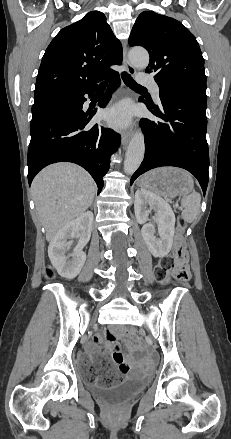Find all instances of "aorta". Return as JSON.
<instances>
[{"instance_id":"aorta-1","label":"aorta","mask_w":231,"mask_h":439,"mask_svg":"<svg viewBox=\"0 0 231 439\" xmlns=\"http://www.w3.org/2000/svg\"><path fill=\"white\" fill-rule=\"evenodd\" d=\"M131 63L139 68L145 69L149 64V54L143 48H133L129 52ZM145 153L144 136L141 132H136L132 137L126 151L124 161V172L133 174L140 166Z\"/></svg>"}]
</instances>
